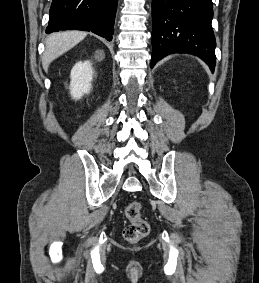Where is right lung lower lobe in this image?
I'll use <instances>...</instances> for the list:
<instances>
[{"label":"right lung lower lobe","instance_id":"1","mask_svg":"<svg viewBox=\"0 0 259 283\" xmlns=\"http://www.w3.org/2000/svg\"><path fill=\"white\" fill-rule=\"evenodd\" d=\"M118 0H53L46 33L92 31L112 40Z\"/></svg>","mask_w":259,"mask_h":283}]
</instances>
